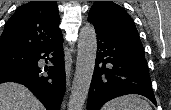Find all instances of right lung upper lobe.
<instances>
[{
	"label": "right lung upper lobe",
	"mask_w": 171,
	"mask_h": 110,
	"mask_svg": "<svg viewBox=\"0 0 171 110\" xmlns=\"http://www.w3.org/2000/svg\"><path fill=\"white\" fill-rule=\"evenodd\" d=\"M56 1H30L20 6L5 25L0 51L35 52L60 39Z\"/></svg>",
	"instance_id": "obj_1"
}]
</instances>
